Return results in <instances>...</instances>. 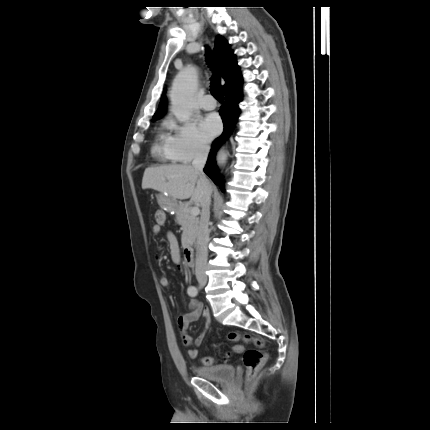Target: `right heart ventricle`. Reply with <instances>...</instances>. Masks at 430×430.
Listing matches in <instances>:
<instances>
[{
  "label": "right heart ventricle",
  "mask_w": 430,
  "mask_h": 430,
  "mask_svg": "<svg viewBox=\"0 0 430 430\" xmlns=\"http://www.w3.org/2000/svg\"><path fill=\"white\" fill-rule=\"evenodd\" d=\"M166 136L162 130L157 133L153 152L164 160H170L166 151Z\"/></svg>",
  "instance_id": "right-heart-ventricle-1"
}]
</instances>
